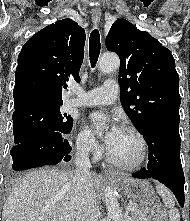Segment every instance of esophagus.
<instances>
[{
    "label": "esophagus",
    "instance_id": "1",
    "mask_svg": "<svg viewBox=\"0 0 190 221\" xmlns=\"http://www.w3.org/2000/svg\"><path fill=\"white\" fill-rule=\"evenodd\" d=\"M100 18H101V10L100 9H93L92 10V21L95 26H97L98 23L100 22ZM105 174L111 175V176L117 175V173L111 169H106Z\"/></svg>",
    "mask_w": 190,
    "mask_h": 221
}]
</instances>
